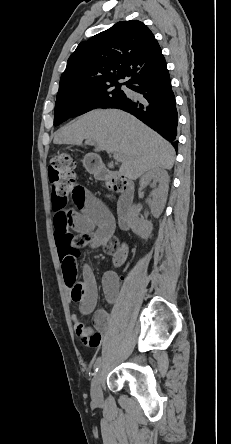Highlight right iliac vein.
<instances>
[{"label":"right iliac vein","mask_w":231,"mask_h":444,"mask_svg":"<svg viewBox=\"0 0 231 444\" xmlns=\"http://www.w3.org/2000/svg\"><path fill=\"white\" fill-rule=\"evenodd\" d=\"M91 397L92 400L100 404L102 402V390H101V369L95 374L91 383Z\"/></svg>","instance_id":"1"}]
</instances>
